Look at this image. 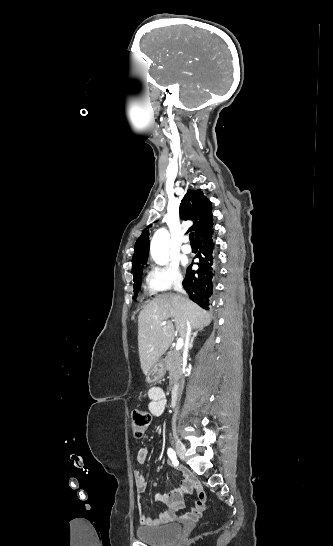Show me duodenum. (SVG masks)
I'll return each instance as SVG.
<instances>
[{
	"instance_id": "1",
	"label": "duodenum",
	"mask_w": 333,
	"mask_h": 546,
	"mask_svg": "<svg viewBox=\"0 0 333 546\" xmlns=\"http://www.w3.org/2000/svg\"><path fill=\"white\" fill-rule=\"evenodd\" d=\"M179 400V391L174 389L172 390V393H171V402H172V405H176L177 402Z\"/></svg>"
}]
</instances>
